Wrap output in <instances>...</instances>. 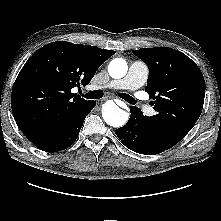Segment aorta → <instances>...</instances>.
I'll return each instance as SVG.
<instances>
[{"mask_svg": "<svg viewBox=\"0 0 221 221\" xmlns=\"http://www.w3.org/2000/svg\"><path fill=\"white\" fill-rule=\"evenodd\" d=\"M128 70L127 63L122 58L113 59L108 66V73L114 79L123 78ZM104 121L113 127H121L128 121V113L119 108L113 101H107L102 107Z\"/></svg>", "mask_w": 221, "mask_h": 221, "instance_id": "aorta-1", "label": "aorta"}]
</instances>
